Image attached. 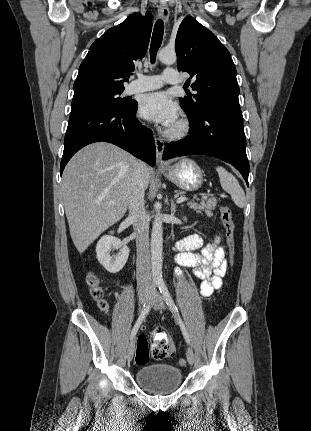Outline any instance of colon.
Segmentation results:
<instances>
[{"mask_svg":"<svg viewBox=\"0 0 311 431\" xmlns=\"http://www.w3.org/2000/svg\"><path fill=\"white\" fill-rule=\"evenodd\" d=\"M220 215L228 248L229 263L230 265H233L236 257V244L234 239L235 222L233 214L229 206L222 205L220 207ZM86 283L89 288L90 295L97 302L99 308L106 311L108 303L105 299L104 289L101 286L98 276L93 272L88 273L86 276ZM174 351L175 347L173 342L166 337H154L149 346L146 336L140 335L137 339L135 362L138 365H145L149 362L150 352L154 358L163 359L173 356ZM178 364L180 366H185V359H179Z\"/></svg>","mask_w":311,"mask_h":431,"instance_id":"5ec220e1","label":"colon"}]
</instances>
